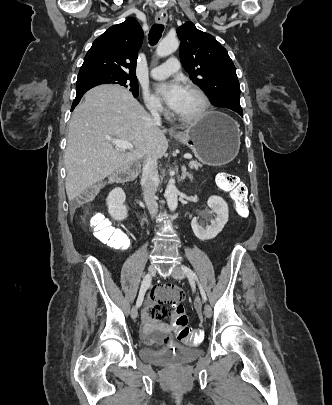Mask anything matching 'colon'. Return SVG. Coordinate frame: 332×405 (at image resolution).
I'll return each instance as SVG.
<instances>
[{"instance_id":"colon-1","label":"colon","mask_w":332,"mask_h":405,"mask_svg":"<svg viewBox=\"0 0 332 405\" xmlns=\"http://www.w3.org/2000/svg\"><path fill=\"white\" fill-rule=\"evenodd\" d=\"M218 185L221 189L229 192L231 198L235 202L237 213L242 218H245L248 213L247 190L239 177L231 173H222L218 177ZM93 194L94 191H89L82 197L81 201L89 200ZM89 224L100 241L115 245L117 251L128 249L127 233L118 231V229L115 228L110 220L103 214L97 213L93 215L89 220ZM164 288L177 287L167 285ZM169 306L171 308H176L178 306V301L176 299H171L169 301ZM166 312H173L166 313L165 315L166 322H170V329L173 334H175L172 337L173 340H179L182 343L189 345L191 351H196L198 349V344L202 341L203 333L206 329L203 325H191L190 322L193 317L192 310H186L185 307L178 306L177 310H166Z\"/></svg>"}]
</instances>
